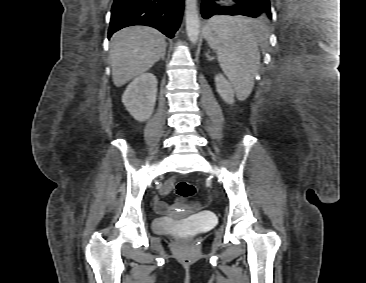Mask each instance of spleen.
<instances>
[{
  "instance_id": "obj_1",
  "label": "spleen",
  "mask_w": 366,
  "mask_h": 283,
  "mask_svg": "<svg viewBox=\"0 0 366 283\" xmlns=\"http://www.w3.org/2000/svg\"><path fill=\"white\" fill-rule=\"evenodd\" d=\"M262 34V26L256 20L229 16L214 17L205 29V37L216 50L222 71L241 100L253 90L260 64L258 40Z\"/></svg>"
}]
</instances>
